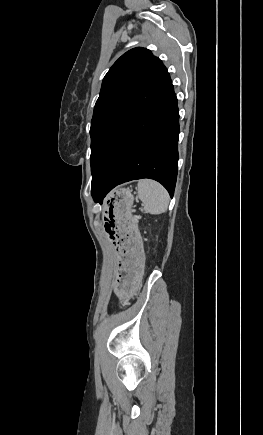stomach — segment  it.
<instances>
[{
	"label": "stomach",
	"mask_w": 263,
	"mask_h": 435,
	"mask_svg": "<svg viewBox=\"0 0 263 435\" xmlns=\"http://www.w3.org/2000/svg\"><path fill=\"white\" fill-rule=\"evenodd\" d=\"M133 195L129 188L116 190L107 200L102 216L103 233L117 247L120 267L115 268L113 286L118 299H135L137 288H143L144 239L139 233L137 216H133Z\"/></svg>",
	"instance_id": "stomach-1"
}]
</instances>
